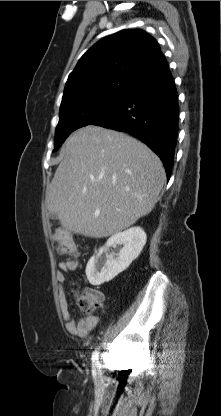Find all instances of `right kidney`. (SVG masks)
<instances>
[{"label":"right kidney","instance_id":"right-kidney-1","mask_svg":"<svg viewBox=\"0 0 221 416\" xmlns=\"http://www.w3.org/2000/svg\"><path fill=\"white\" fill-rule=\"evenodd\" d=\"M147 236L141 227H131L123 232L112 235L105 246L99 248L94 256L90 258L86 266V276L90 284L98 286L112 280L124 271L136 259L146 244ZM123 245L117 257L114 254H102L109 247Z\"/></svg>","mask_w":221,"mask_h":416}]
</instances>
